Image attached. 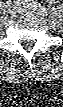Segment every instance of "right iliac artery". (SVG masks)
<instances>
[{"instance_id":"right-iliac-artery-1","label":"right iliac artery","mask_w":63,"mask_h":107,"mask_svg":"<svg viewBox=\"0 0 63 107\" xmlns=\"http://www.w3.org/2000/svg\"><path fill=\"white\" fill-rule=\"evenodd\" d=\"M11 5H12L11 1L8 0V1H7V6H8V8H9ZM17 6H18V5H17Z\"/></svg>"}]
</instances>
